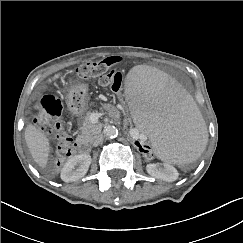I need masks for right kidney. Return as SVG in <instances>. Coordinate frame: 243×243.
<instances>
[{
	"label": "right kidney",
	"mask_w": 243,
	"mask_h": 243,
	"mask_svg": "<svg viewBox=\"0 0 243 243\" xmlns=\"http://www.w3.org/2000/svg\"><path fill=\"white\" fill-rule=\"evenodd\" d=\"M91 164V156L87 153L75 155L70 158L61 171V179L64 182H72L82 178Z\"/></svg>",
	"instance_id": "1"
}]
</instances>
